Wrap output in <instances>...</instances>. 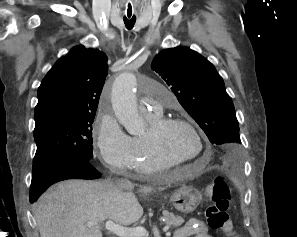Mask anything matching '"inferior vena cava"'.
Instances as JSON below:
<instances>
[{"label": "inferior vena cava", "instance_id": "inferior-vena-cava-1", "mask_svg": "<svg viewBox=\"0 0 297 237\" xmlns=\"http://www.w3.org/2000/svg\"><path fill=\"white\" fill-rule=\"evenodd\" d=\"M119 189H127L133 187V184L127 179H119L115 182Z\"/></svg>", "mask_w": 297, "mask_h": 237}]
</instances>
